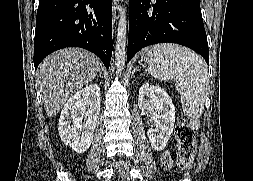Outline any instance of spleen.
<instances>
[{
  "label": "spleen",
  "instance_id": "spleen-1",
  "mask_svg": "<svg viewBox=\"0 0 253 181\" xmlns=\"http://www.w3.org/2000/svg\"><path fill=\"white\" fill-rule=\"evenodd\" d=\"M147 71L160 80L174 79L182 108L189 119H198L206 99L208 69L204 59L194 51L173 43L150 47Z\"/></svg>",
  "mask_w": 253,
  "mask_h": 181
}]
</instances>
